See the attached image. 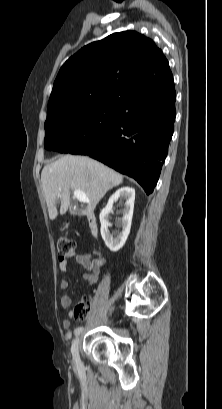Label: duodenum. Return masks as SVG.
Listing matches in <instances>:
<instances>
[{
	"instance_id": "duodenum-1",
	"label": "duodenum",
	"mask_w": 222,
	"mask_h": 409,
	"mask_svg": "<svg viewBox=\"0 0 222 409\" xmlns=\"http://www.w3.org/2000/svg\"><path fill=\"white\" fill-rule=\"evenodd\" d=\"M88 226L91 233L96 236L98 234V229L92 215H88Z\"/></svg>"
}]
</instances>
